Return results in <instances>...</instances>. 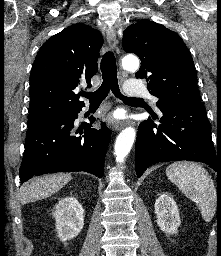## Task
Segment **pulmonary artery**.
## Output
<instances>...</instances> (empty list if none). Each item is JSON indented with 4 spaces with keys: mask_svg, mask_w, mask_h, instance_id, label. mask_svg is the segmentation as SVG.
Masks as SVG:
<instances>
[{
    "mask_svg": "<svg viewBox=\"0 0 221 256\" xmlns=\"http://www.w3.org/2000/svg\"><path fill=\"white\" fill-rule=\"evenodd\" d=\"M125 91L131 97H148L153 103L157 102V98L150 95L146 86L139 80H128L125 84Z\"/></svg>",
    "mask_w": 221,
    "mask_h": 256,
    "instance_id": "pulmonary-artery-1",
    "label": "pulmonary artery"
}]
</instances>
